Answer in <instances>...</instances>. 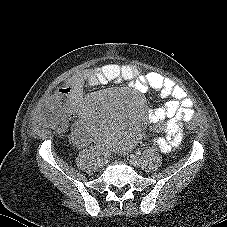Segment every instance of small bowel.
<instances>
[{"mask_svg":"<svg viewBox=\"0 0 227 227\" xmlns=\"http://www.w3.org/2000/svg\"><path fill=\"white\" fill-rule=\"evenodd\" d=\"M108 81L129 82L139 93H145L149 88L158 91L165 103L149 112L148 119L156 125L158 131L164 132V136L153 138L152 142L163 153L172 152L181 143L182 137L178 130L183 121H189L193 117V101L172 79L157 72L142 74L134 65L109 64L78 72L48 99L47 106L52 109L54 105L61 103L66 108L75 110L83 104L84 108L86 87ZM164 120L166 122L161 124ZM65 127L66 124L61 122L60 128ZM72 135L77 145L85 143L79 128L74 129Z\"/></svg>","mask_w":227,"mask_h":227,"instance_id":"small-bowel-1","label":"small bowel"}]
</instances>
